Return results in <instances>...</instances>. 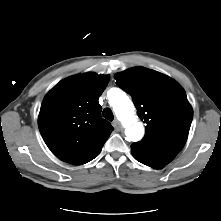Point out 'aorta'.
Returning <instances> with one entry per match:
<instances>
[{
    "mask_svg": "<svg viewBox=\"0 0 221 221\" xmlns=\"http://www.w3.org/2000/svg\"><path fill=\"white\" fill-rule=\"evenodd\" d=\"M113 110L117 118L125 126V135L128 140L137 142L144 135L142 123L137 122L135 107L129 97L123 92H117L112 100Z\"/></svg>",
    "mask_w": 221,
    "mask_h": 221,
    "instance_id": "aorta-1",
    "label": "aorta"
}]
</instances>
